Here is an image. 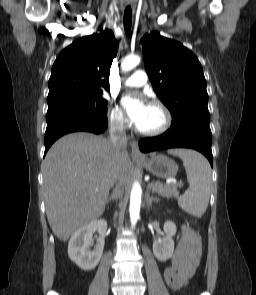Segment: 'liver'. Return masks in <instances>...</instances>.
Listing matches in <instances>:
<instances>
[{
    "instance_id": "1",
    "label": "liver",
    "mask_w": 256,
    "mask_h": 295,
    "mask_svg": "<svg viewBox=\"0 0 256 295\" xmlns=\"http://www.w3.org/2000/svg\"><path fill=\"white\" fill-rule=\"evenodd\" d=\"M115 171L125 185L128 153L122 150L116 160L102 136L72 133L51 146L42 164L43 189L47 219L58 239L67 241L103 214Z\"/></svg>"
}]
</instances>
